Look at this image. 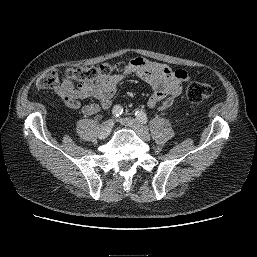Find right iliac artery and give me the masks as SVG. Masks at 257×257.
<instances>
[{
  "label": "right iliac artery",
  "instance_id": "obj_1",
  "mask_svg": "<svg viewBox=\"0 0 257 257\" xmlns=\"http://www.w3.org/2000/svg\"><path fill=\"white\" fill-rule=\"evenodd\" d=\"M123 113V108L120 105L114 106L112 114L115 117H119Z\"/></svg>",
  "mask_w": 257,
  "mask_h": 257
}]
</instances>
